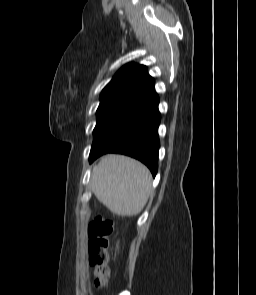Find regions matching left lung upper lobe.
Listing matches in <instances>:
<instances>
[{"label":"left lung upper lobe","mask_w":256,"mask_h":295,"mask_svg":"<svg viewBox=\"0 0 256 295\" xmlns=\"http://www.w3.org/2000/svg\"><path fill=\"white\" fill-rule=\"evenodd\" d=\"M156 97L154 80L146 66L125 65L102 90L93 144Z\"/></svg>","instance_id":"left-lung-upper-lobe-1"}]
</instances>
